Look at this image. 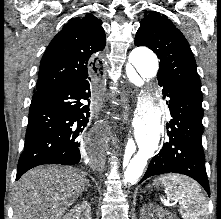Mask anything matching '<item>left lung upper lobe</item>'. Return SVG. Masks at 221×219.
Listing matches in <instances>:
<instances>
[{"instance_id": "left-lung-upper-lobe-1", "label": "left lung upper lobe", "mask_w": 221, "mask_h": 219, "mask_svg": "<svg viewBox=\"0 0 221 219\" xmlns=\"http://www.w3.org/2000/svg\"><path fill=\"white\" fill-rule=\"evenodd\" d=\"M135 36L136 46H146L160 59V86L172 87L202 100L201 81L184 35L165 15L145 13Z\"/></svg>"}]
</instances>
